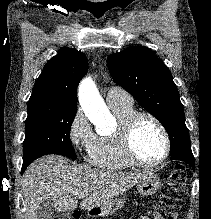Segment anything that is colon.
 Listing matches in <instances>:
<instances>
[{
    "instance_id": "5ec220e1",
    "label": "colon",
    "mask_w": 211,
    "mask_h": 219,
    "mask_svg": "<svg viewBox=\"0 0 211 219\" xmlns=\"http://www.w3.org/2000/svg\"><path fill=\"white\" fill-rule=\"evenodd\" d=\"M186 194V174L181 165H177L171 172L167 182L161 189V200L158 207L164 211L176 210L181 207L182 200ZM78 213L71 216L63 215L55 219H78Z\"/></svg>"
}]
</instances>
